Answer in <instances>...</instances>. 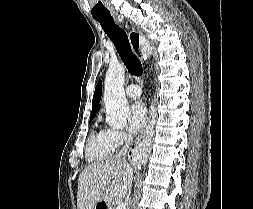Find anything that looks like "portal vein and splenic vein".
Returning a JSON list of instances; mask_svg holds the SVG:
<instances>
[{
	"mask_svg": "<svg viewBox=\"0 0 253 209\" xmlns=\"http://www.w3.org/2000/svg\"><path fill=\"white\" fill-rule=\"evenodd\" d=\"M120 191L119 187H115V192L118 193ZM126 205L124 203H120L116 209H125Z\"/></svg>",
	"mask_w": 253,
	"mask_h": 209,
	"instance_id": "18ae733b",
	"label": "portal vein and splenic vein"
}]
</instances>
